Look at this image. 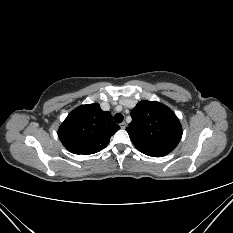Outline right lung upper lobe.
<instances>
[{"instance_id": "1", "label": "right lung upper lobe", "mask_w": 233, "mask_h": 233, "mask_svg": "<svg viewBox=\"0 0 233 233\" xmlns=\"http://www.w3.org/2000/svg\"><path fill=\"white\" fill-rule=\"evenodd\" d=\"M119 129L111 113L104 112L99 104L94 103L74 109L61 124L58 136L70 152L88 155L105 148Z\"/></svg>"}]
</instances>
